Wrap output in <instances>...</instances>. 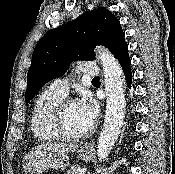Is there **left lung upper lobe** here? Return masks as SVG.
Returning a JSON list of instances; mask_svg holds the SVG:
<instances>
[{
	"label": "left lung upper lobe",
	"instance_id": "obj_1",
	"mask_svg": "<svg viewBox=\"0 0 175 174\" xmlns=\"http://www.w3.org/2000/svg\"><path fill=\"white\" fill-rule=\"evenodd\" d=\"M96 45L109 48L115 57L127 45L119 20L103 7L47 32L32 55L25 102L49 80L62 76L73 61L93 60Z\"/></svg>",
	"mask_w": 175,
	"mask_h": 174
}]
</instances>
